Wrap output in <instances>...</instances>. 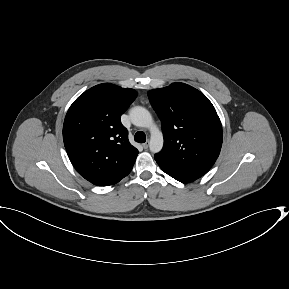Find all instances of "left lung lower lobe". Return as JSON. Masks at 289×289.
<instances>
[{
    "mask_svg": "<svg viewBox=\"0 0 289 289\" xmlns=\"http://www.w3.org/2000/svg\"><path fill=\"white\" fill-rule=\"evenodd\" d=\"M174 179L182 182V183H188L196 180V178H186V177H181V176H176V175H171Z\"/></svg>",
    "mask_w": 289,
    "mask_h": 289,
    "instance_id": "left-lung-lower-lobe-1",
    "label": "left lung lower lobe"
}]
</instances>
